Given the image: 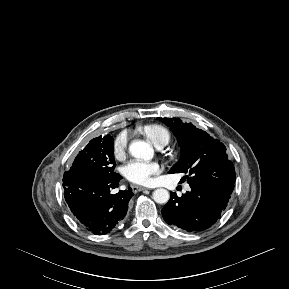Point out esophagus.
<instances>
[{"label": "esophagus", "mask_w": 289, "mask_h": 289, "mask_svg": "<svg viewBox=\"0 0 289 289\" xmlns=\"http://www.w3.org/2000/svg\"><path fill=\"white\" fill-rule=\"evenodd\" d=\"M143 190H147V188L142 187V186H138V185H133L132 186V191L133 192H138V191H143Z\"/></svg>", "instance_id": "obj_1"}]
</instances>
